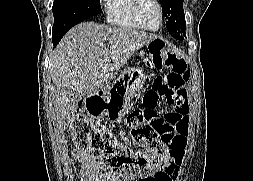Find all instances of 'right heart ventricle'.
<instances>
[{
    "label": "right heart ventricle",
    "instance_id": "right-heart-ventricle-1",
    "mask_svg": "<svg viewBox=\"0 0 253 181\" xmlns=\"http://www.w3.org/2000/svg\"><path fill=\"white\" fill-rule=\"evenodd\" d=\"M106 21L123 30H139L132 16L133 0H102Z\"/></svg>",
    "mask_w": 253,
    "mask_h": 181
}]
</instances>
